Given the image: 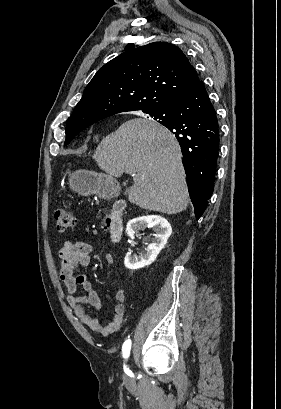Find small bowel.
I'll return each mask as SVG.
<instances>
[{"label": "small bowel", "instance_id": "small-bowel-1", "mask_svg": "<svg viewBox=\"0 0 281 409\" xmlns=\"http://www.w3.org/2000/svg\"><path fill=\"white\" fill-rule=\"evenodd\" d=\"M92 251L93 246L85 240L77 237L67 239L59 250V258L61 260L60 279L67 290V302L74 310L80 322L96 334L110 335L119 330L124 321L126 294L122 288L116 290L115 299L118 303L114 307L112 321L106 326H103L99 320L85 310V305H90L96 311L102 308V302L94 290L90 279L84 274H74L78 266H84L89 263ZM105 262L108 265H112L114 263L113 255L107 254ZM78 286L83 287L84 294H77Z\"/></svg>", "mask_w": 281, "mask_h": 409}]
</instances>
